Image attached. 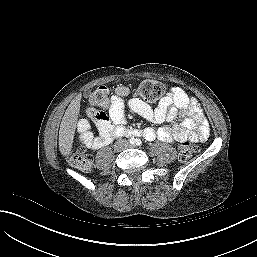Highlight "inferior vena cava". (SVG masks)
I'll list each match as a JSON object with an SVG mask.
<instances>
[{
	"label": "inferior vena cava",
	"mask_w": 257,
	"mask_h": 257,
	"mask_svg": "<svg viewBox=\"0 0 257 257\" xmlns=\"http://www.w3.org/2000/svg\"><path fill=\"white\" fill-rule=\"evenodd\" d=\"M122 144H127V142H126V140H119L118 142H117V145H122Z\"/></svg>",
	"instance_id": "1"
}]
</instances>
